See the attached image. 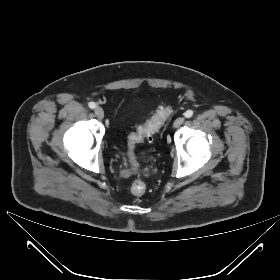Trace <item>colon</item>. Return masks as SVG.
Returning a JSON list of instances; mask_svg holds the SVG:
<instances>
[{"label": "colon", "mask_w": 280, "mask_h": 280, "mask_svg": "<svg viewBox=\"0 0 280 280\" xmlns=\"http://www.w3.org/2000/svg\"><path fill=\"white\" fill-rule=\"evenodd\" d=\"M172 106L166 105L156 109L153 116L143 125H138L136 130L129 135L127 140V146L129 154L131 156L132 165L137 166V162L134 157L135 145L144 139L152 140L154 135L158 132L164 121L172 114ZM131 193L135 196H141L146 191V184L144 181L137 179L131 183Z\"/></svg>", "instance_id": "obj_1"}]
</instances>
